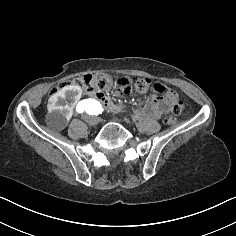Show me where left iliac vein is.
Here are the masks:
<instances>
[{"label":"left iliac vein","instance_id":"1","mask_svg":"<svg viewBox=\"0 0 236 236\" xmlns=\"http://www.w3.org/2000/svg\"><path fill=\"white\" fill-rule=\"evenodd\" d=\"M100 123H105L106 121L104 120V119H102V118H100L99 120H98Z\"/></svg>","mask_w":236,"mask_h":236}]
</instances>
